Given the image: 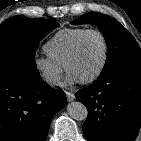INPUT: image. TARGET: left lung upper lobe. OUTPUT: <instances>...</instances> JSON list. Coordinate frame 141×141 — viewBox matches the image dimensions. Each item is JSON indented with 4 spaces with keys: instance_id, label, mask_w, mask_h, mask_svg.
Listing matches in <instances>:
<instances>
[{
    "instance_id": "1",
    "label": "left lung upper lobe",
    "mask_w": 141,
    "mask_h": 141,
    "mask_svg": "<svg viewBox=\"0 0 141 141\" xmlns=\"http://www.w3.org/2000/svg\"><path fill=\"white\" fill-rule=\"evenodd\" d=\"M91 23L98 26L107 42L108 54L101 77L123 68H141V49L134 37L112 17L92 12L72 24Z\"/></svg>"
}]
</instances>
